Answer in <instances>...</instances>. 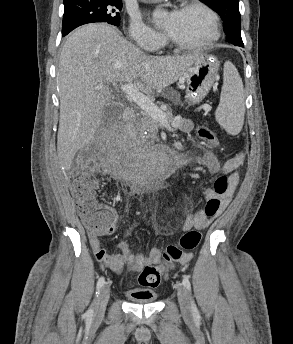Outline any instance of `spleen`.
<instances>
[{"label":"spleen","instance_id":"3e777b00","mask_svg":"<svg viewBox=\"0 0 293 344\" xmlns=\"http://www.w3.org/2000/svg\"><path fill=\"white\" fill-rule=\"evenodd\" d=\"M220 103L215 112L216 121L228 134L237 135L244 124V88L236 67L229 61L224 64Z\"/></svg>","mask_w":293,"mask_h":344}]
</instances>
